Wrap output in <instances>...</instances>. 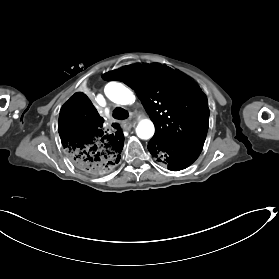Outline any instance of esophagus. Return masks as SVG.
Here are the masks:
<instances>
[{
    "label": "esophagus",
    "mask_w": 279,
    "mask_h": 279,
    "mask_svg": "<svg viewBox=\"0 0 279 279\" xmlns=\"http://www.w3.org/2000/svg\"><path fill=\"white\" fill-rule=\"evenodd\" d=\"M134 123L131 120H124L122 126L125 130H130L133 127Z\"/></svg>",
    "instance_id": "34e87169"
}]
</instances>
